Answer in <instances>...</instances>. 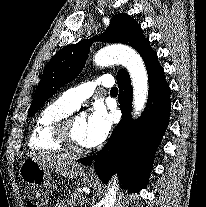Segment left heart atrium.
I'll return each instance as SVG.
<instances>
[{
	"label": "left heart atrium",
	"mask_w": 206,
	"mask_h": 207,
	"mask_svg": "<svg viewBox=\"0 0 206 207\" xmlns=\"http://www.w3.org/2000/svg\"><path fill=\"white\" fill-rule=\"evenodd\" d=\"M113 125V114L98 103L86 120L85 141L87 147L101 144L109 135Z\"/></svg>",
	"instance_id": "1"
}]
</instances>
